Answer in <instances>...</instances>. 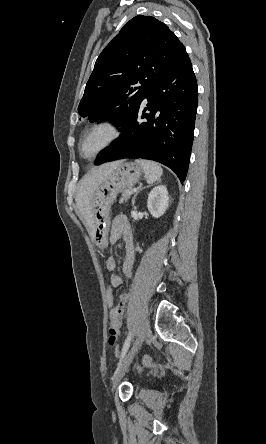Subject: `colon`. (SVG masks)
<instances>
[{"mask_svg": "<svg viewBox=\"0 0 266 444\" xmlns=\"http://www.w3.org/2000/svg\"><path fill=\"white\" fill-rule=\"evenodd\" d=\"M114 302H115V297H114V292L111 286H109L106 290V304L109 308H114ZM119 353V349L118 347H115V354ZM142 362L144 365L146 366H150V367H154L156 364L153 361L152 358H150L149 356H144L142 359Z\"/></svg>", "mask_w": 266, "mask_h": 444, "instance_id": "5ec220e1", "label": "colon"}]
</instances>
